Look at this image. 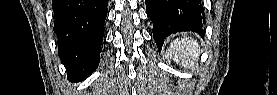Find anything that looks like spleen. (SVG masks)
<instances>
[{
	"mask_svg": "<svg viewBox=\"0 0 277 95\" xmlns=\"http://www.w3.org/2000/svg\"><path fill=\"white\" fill-rule=\"evenodd\" d=\"M169 53L178 64L193 69L198 62L200 47L194 39L184 37L170 44Z\"/></svg>",
	"mask_w": 277,
	"mask_h": 95,
	"instance_id": "spleen-1",
	"label": "spleen"
}]
</instances>
